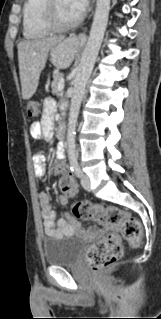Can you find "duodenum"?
Segmentation results:
<instances>
[{
	"label": "duodenum",
	"instance_id": "410a0bca",
	"mask_svg": "<svg viewBox=\"0 0 161 319\" xmlns=\"http://www.w3.org/2000/svg\"><path fill=\"white\" fill-rule=\"evenodd\" d=\"M66 125H61L59 128V136L60 137H64L66 135Z\"/></svg>",
	"mask_w": 161,
	"mask_h": 319
}]
</instances>
